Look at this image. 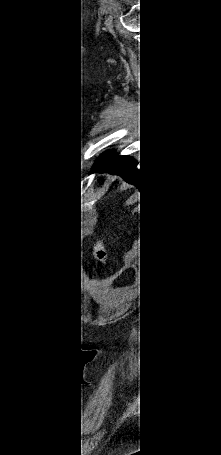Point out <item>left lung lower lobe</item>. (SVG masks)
Here are the masks:
<instances>
[{
    "mask_svg": "<svg viewBox=\"0 0 221 455\" xmlns=\"http://www.w3.org/2000/svg\"><path fill=\"white\" fill-rule=\"evenodd\" d=\"M106 172L121 175L128 183L134 184L145 191L148 183V171L139 163L134 155H119L113 151L102 153L92 166V172Z\"/></svg>",
    "mask_w": 221,
    "mask_h": 455,
    "instance_id": "1",
    "label": "left lung lower lobe"
}]
</instances>
